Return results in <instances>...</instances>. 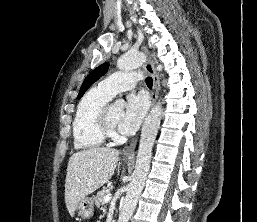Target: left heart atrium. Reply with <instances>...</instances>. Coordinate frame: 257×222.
<instances>
[{
  "mask_svg": "<svg viewBox=\"0 0 257 222\" xmlns=\"http://www.w3.org/2000/svg\"><path fill=\"white\" fill-rule=\"evenodd\" d=\"M148 105V100L144 95H130L118 123L119 130L124 134L136 131L148 110Z\"/></svg>",
  "mask_w": 257,
  "mask_h": 222,
  "instance_id": "39dd6f15",
  "label": "left heart atrium"
}]
</instances>
